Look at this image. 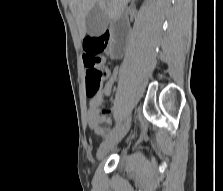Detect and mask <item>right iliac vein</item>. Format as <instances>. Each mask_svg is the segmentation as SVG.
<instances>
[{
    "mask_svg": "<svg viewBox=\"0 0 223 191\" xmlns=\"http://www.w3.org/2000/svg\"><path fill=\"white\" fill-rule=\"evenodd\" d=\"M130 125L131 117H128L117 131L101 143L97 151L98 159H102L127 134Z\"/></svg>",
    "mask_w": 223,
    "mask_h": 191,
    "instance_id": "63e3f726",
    "label": "right iliac vein"
}]
</instances>
